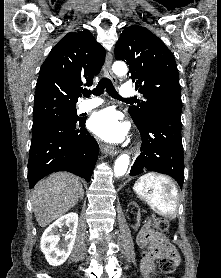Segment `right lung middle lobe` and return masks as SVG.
<instances>
[{"mask_svg": "<svg viewBox=\"0 0 221 278\" xmlns=\"http://www.w3.org/2000/svg\"><path fill=\"white\" fill-rule=\"evenodd\" d=\"M75 106L76 103L64 101H48L34 105L32 131L52 122L73 123L78 121L80 118L77 116Z\"/></svg>", "mask_w": 221, "mask_h": 278, "instance_id": "obj_1", "label": "right lung middle lobe"}]
</instances>
